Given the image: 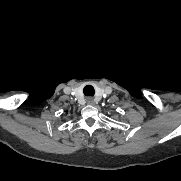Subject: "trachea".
Instances as JSON below:
<instances>
[{"label":"trachea","mask_w":181,"mask_h":181,"mask_svg":"<svg viewBox=\"0 0 181 181\" xmlns=\"http://www.w3.org/2000/svg\"><path fill=\"white\" fill-rule=\"evenodd\" d=\"M83 92L85 96H94L95 94V90L91 85L85 86Z\"/></svg>","instance_id":"1"}]
</instances>
